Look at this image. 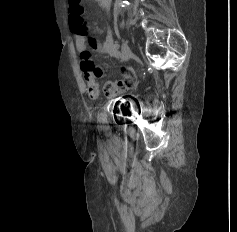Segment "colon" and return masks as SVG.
<instances>
[{"label":"colon","instance_id":"obj_1","mask_svg":"<svg viewBox=\"0 0 237 232\" xmlns=\"http://www.w3.org/2000/svg\"><path fill=\"white\" fill-rule=\"evenodd\" d=\"M70 4V25L74 32L85 33L87 32V26L83 20V8L81 6V0H69Z\"/></svg>","mask_w":237,"mask_h":232}]
</instances>
